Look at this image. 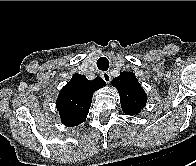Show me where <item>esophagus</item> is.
<instances>
[{"mask_svg": "<svg viewBox=\"0 0 196 166\" xmlns=\"http://www.w3.org/2000/svg\"><path fill=\"white\" fill-rule=\"evenodd\" d=\"M101 76H102L103 80H104L106 83H110V81H111V75H110L109 72H103V73L101 74Z\"/></svg>", "mask_w": 196, "mask_h": 166, "instance_id": "34e87169", "label": "esophagus"}]
</instances>
